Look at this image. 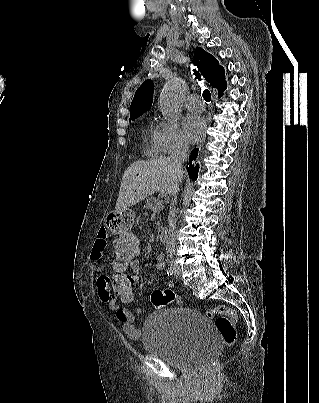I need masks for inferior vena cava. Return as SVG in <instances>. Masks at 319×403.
<instances>
[{
  "instance_id": "obj_1",
  "label": "inferior vena cava",
  "mask_w": 319,
  "mask_h": 403,
  "mask_svg": "<svg viewBox=\"0 0 319 403\" xmlns=\"http://www.w3.org/2000/svg\"><path fill=\"white\" fill-rule=\"evenodd\" d=\"M188 150H189L188 143H186L183 140H179L177 142L174 152L171 154L170 160H171L172 166L174 167V169L177 173L182 171V163L187 160ZM178 189H179V180L176 179L172 185V188L169 190V194L172 196V201H171V210H170V214H169V232H168L167 246H166V249L168 251L175 249V242H176L175 205L177 203Z\"/></svg>"
}]
</instances>
